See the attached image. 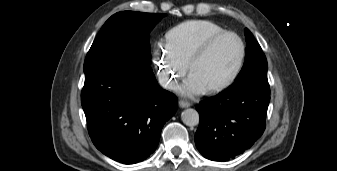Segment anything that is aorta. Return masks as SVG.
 I'll use <instances>...</instances> for the list:
<instances>
[{"instance_id":"obj_1","label":"aorta","mask_w":337,"mask_h":171,"mask_svg":"<svg viewBox=\"0 0 337 171\" xmlns=\"http://www.w3.org/2000/svg\"><path fill=\"white\" fill-rule=\"evenodd\" d=\"M181 119L187 126H196L199 124V113L195 109L189 108L182 112Z\"/></svg>"}]
</instances>
